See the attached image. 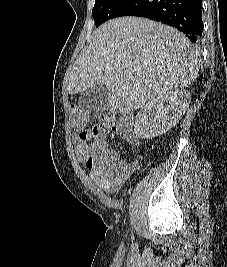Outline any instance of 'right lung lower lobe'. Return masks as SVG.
Instances as JSON below:
<instances>
[{
	"label": "right lung lower lobe",
	"mask_w": 227,
	"mask_h": 267,
	"mask_svg": "<svg viewBox=\"0 0 227 267\" xmlns=\"http://www.w3.org/2000/svg\"><path fill=\"white\" fill-rule=\"evenodd\" d=\"M138 16L149 18L182 31L199 43L203 31L202 0H129L113 18Z\"/></svg>",
	"instance_id": "obj_1"
}]
</instances>
